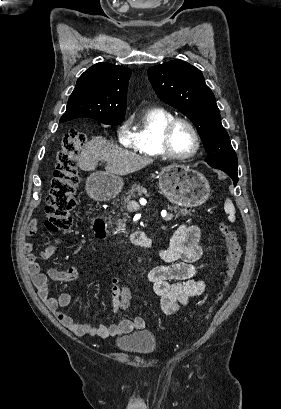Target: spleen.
<instances>
[{
	"mask_svg": "<svg viewBox=\"0 0 281 409\" xmlns=\"http://www.w3.org/2000/svg\"><path fill=\"white\" fill-rule=\"evenodd\" d=\"M224 211L229 215L228 219L231 221V223H234L235 221V209L232 200L230 198H226L225 200V205H224Z\"/></svg>",
	"mask_w": 281,
	"mask_h": 409,
	"instance_id": "obj_1",
	"label": "spleen"
}]
</instances>
